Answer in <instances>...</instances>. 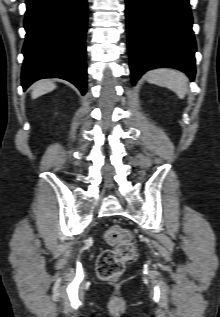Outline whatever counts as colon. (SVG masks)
Segmentation results:
<instances>
[{"instance_id": "obj_1", "label": "colon", "mask_w": 220, "mask_h": 317, "mask_svg": "<svg viewBox=\"0 0 220 317\" xmlns=\"http://www.w3.org/2000/svg\"><path fill=\"white\" fill-rule=\"evenodd\" d=\"M104 240L112 248L99 255L97 273L103 280H116L123 274L126 263L135 255L132 235L124 227L114 225L105 231Z\"/></svg>"}]
</instances>
